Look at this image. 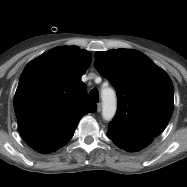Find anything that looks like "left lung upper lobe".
Returning <instances> with one entry per match:
<instances>
[{"mask_svg":"<svg viewBox=\"0 0 187 187\" xmlns=\"http://www.w3.org/2000/svg\"><path fill=\"white\" fill-rule=\"evenodd\" d=\"M95 67L115 87L117 113L109 123L110 136L134 150L148 146L163 132L173 111L174 92L164 70L139 51H98Z\"/></svg>","mask_w":187,"mask_h":187,"instance_id":"left-lung-upper-lobe-1","label":"left lung upper lobe"}]
</instances>
